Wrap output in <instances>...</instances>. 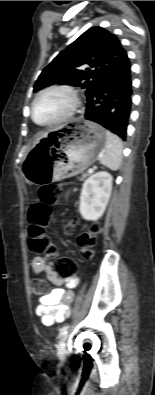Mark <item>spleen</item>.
Masks as SVG:
<instances>
[{
	"label": "spleen",
	"instance_id": "3e777b00",
	"mask_svg": "<svg viewBox=\"0 0 155 395\" xmlns=\"http://www.w3.org/2000/svg\"><path fill=\"white\" fill-rule=\"evenodd\" d=\"M105 134V149L100 154L99 160L104 166L108 167L113 171H116L119 169L122 162V141L118 136L111 133L110 131H106Z\"/></svg>",
	"mask_w": 155,
	"mask_h": 395
}]
</instances>
